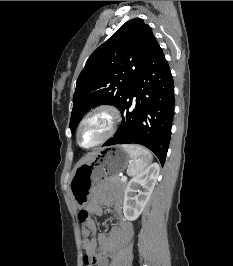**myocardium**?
<instances>
[{"label": "myocardium", "instance_id": "obj_1", "mask_svg": "<svg viewBox=\"0 0 233 266\" xmlns=\"http://www.w3.org/2000/svg\"><path fill=\"white\" fill-rule=\"evenodd\" d=\"M98 113L109 114L110 119H111L110 126H109L106 134L99 141H97L96 143H94L90 146H85L84 144H82V142L80 140L81 129L87 120H89L92 116H94ZM121 119H122L121 112H120L119 108L114 104L103 103V104H100V105L94 107L84 116V118L79 123V126L77 128V132H76V139H77L78 144L81 147L86 148V149H91V148H95L97 146L102 145L103 143L108 141L111 137H113V135L115 134V132L117 131V129L121 123Z\"/></svg>", "mask_w": 233, "mask_h": 266}]
</instances>
